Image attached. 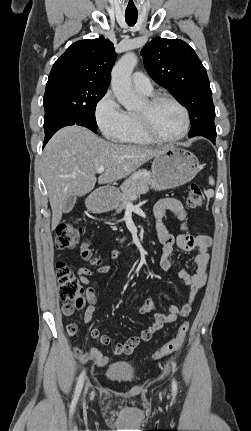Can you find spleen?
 <instances>
[{
    "label": "spleen",
    "instance_id": "1",
    "mask_svg": "<svg viewBox=\"0 0 251 431\" xmlns=\"http://www.w3.org/2000/svg\"><path fill=\"white\" fill-rule=\"evenodd\" d=\"M209 184H210V185H214V184H215V181H214L213 177H209ZM206 195H207L208 197H213V196H214V191H213V190H208V191L206 192Z\"/></svg>",
    "mask_w": 251,
    "mask_h": 431
}]
</instances>
